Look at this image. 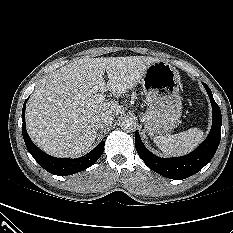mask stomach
<instances>
[{
    "label": "stomach",
    "instance_id": "1",
    "mask_svg": "<svg viewBox=\"0 0 233 233\" xmlns=\"http://www.w3.org/2000/svg\"><path fill=\"white\" fill-rule=\"evenodd\" d=\"M141 82L148 106L141 115L145 130L150 137L171 132L182 115L177 70L159 60L148 66Z\"/></svg>",
    "mask_w": 233,
    "mask_h": 233
}]
</instances>
